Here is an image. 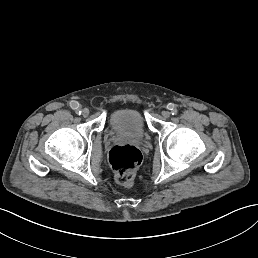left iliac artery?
<instances>
[{
  "mask_svg": "<svg viewBox=\"0 0 258 258\" xmlns=\"http://www.w3.org/2000/svg\"><path fill=\"white\" fill-rule=\"evenodd\" d=\"M177 113H178V110H177V109H173V110L171 111V114H172V115H177Z\"/></svg>",
  "mask_w": 258,
  "mask_h": 258,
  "instance_id": "obj_1",
  "label": "left iliac artery"
}]
</instances>
